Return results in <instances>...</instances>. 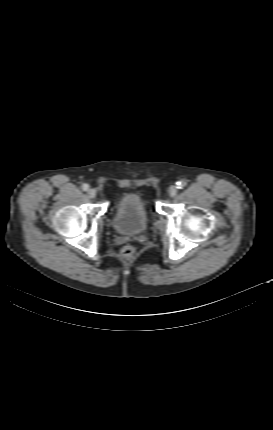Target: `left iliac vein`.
Returning <instances> with one entry per match:
<instances>
[{
	"instance_id": "left-iliac-vein-1",
	"label": "left iliac vein",
	"mask_w": 273,
	"mask_h": 430,
	"mask_svg": "<svg viewBox=\"0 0 273 430\" xmlns=\"http://www.w3.org/2000/svg\"><path fill=\"white\" fill-rule=\"evenodd\" d=\"M177 194V187L176 186H170L169 187V195L171 197H175Z\"/></svg>"
}]
</instances>
